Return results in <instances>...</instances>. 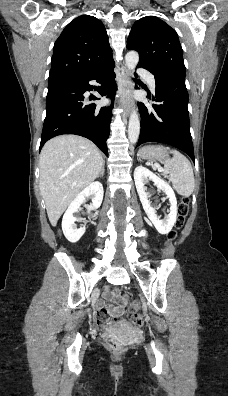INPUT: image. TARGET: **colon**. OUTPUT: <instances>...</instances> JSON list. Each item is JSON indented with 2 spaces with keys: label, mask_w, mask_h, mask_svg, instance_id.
<instances>
[{
  "label": "colon",
  "mask_w": 228,
  "mask_h": 396,
  "mask_svg": "<svg viewBox=\"0 0 228 396\" xmlns=\"http://www.w3.org/2000/svg\"><path fill=\"white\" fill-rule=\"evenodd\" d=\"M188 213H189V200L187 198H183L178 206V218L176 221V229L171 231L168 235L169 242H173L178 238V230L184 226ZM128 309L132 316L133 323L137 327H143L144 320H143L142 315L140 314L139 302L137 300L132 301L129 304ZM102 316L103 315L100 313L99 317H102ZM107 344H108V347L114 351H120L123 348V342L115 337L109 338Z\"/></svg>",
  "instance_id": "obj_1"
}]
</instances>
